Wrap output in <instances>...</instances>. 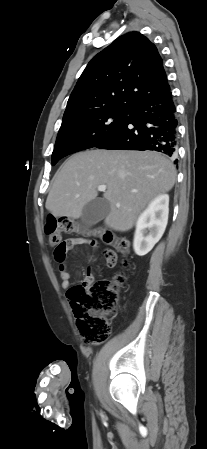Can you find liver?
I'll list each match as a JSON object with an SVG mask.
<instances>
[{
    "label": "liver",
    "mask_w": 207,
    "mask_h": 449,
    "mask_svg": "<svg viewBox=\"0 0 207 449\" xmlns=\"http://www.w3.org/2000/svg\"><path fill=\"white\" fill-rule=\"evenodd\" d=\"M176 180L173 163L155 151L88 150L69 157L57 171L46 200L54 217L78 219L99 185L110 204L105 225L130 230L147 204L169 192Z\"/></svg>",
    "instance_id": "6515ba94"
}]
</instances>
